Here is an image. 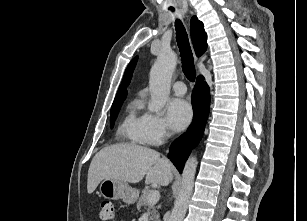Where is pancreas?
<instances>
[{"label":"pancreas","mask_w":307,"mask_h":221,"mask_svg":"<svg viewBox=\"0 0 307 221\" xmlns=\"http://www.w3.org/2000/svg\"><path fill=\"white\" fill-rule=\"evenodd\" d=\"M151 191L152 190L149 189H145L142 191V195L137 202V209L140 211L142 207L147 208V211L150 215V220L160 221V216L157 211L158 207H156L155 204L148 203V195Z\"/></svg>","instance_id":"1"}]
</instances>
